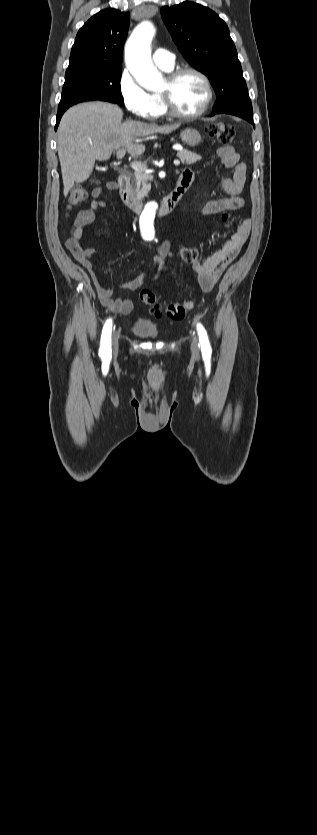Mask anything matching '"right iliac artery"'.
Here are the masks:
<instances>
[{
	"instance_id": "1",
	"label": "right iliac artery",
	"mask_w": 317,
	"mask_h": 835,
	"mask_svg": "<svg viewBox=\"0 0 317 835\" xmlns=\"http://www.w3.org/2000/svg\"><path fill=\"white\" fill-rule=\"evenodd\" d=\"M111 331L112 320L108 319L105 322L102 330L101 343L99 349V355L103 360H109L111 357Z\"/></svg>"
}]
</instances>
